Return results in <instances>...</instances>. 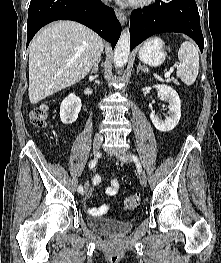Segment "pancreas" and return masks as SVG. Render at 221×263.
Here are the masks:
<instances>
[{"label": "pancreas", "instance_id": "cf45deb5", "mask_svg": "<svg viewBox=\"0 0 221 263\" xmlns=\"http://www.w3.org/2000/svg\"><path fill=\"white\" fill-rule=\"evenodd\" d=\"M171 81L176 84V85H179V82L175 79V78H171Z\"/></svg>", "mask_w": 221, "mask_h": 263}]
</instances>
